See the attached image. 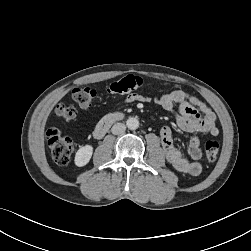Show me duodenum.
<instances>
[{"label":"duodenum","instance_id":"duodenum-1","mask_svg":"<svg viewBox=\"0 0 251 251\" xmlns=\"http://www.w3.org/2000/svg\"><path fill=\"white\" fill-rule=\"evenodd\" d=\"M122 118L120 113H112L104 116L96 125L94 130V136L96 138H102L109 128Z\"/></svg>","mask_w":251,"mask_h":251}]
</instances>
